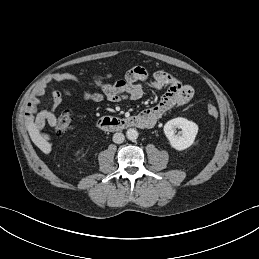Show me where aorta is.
Segmentation results:
<instances>
[{
    "label": "aorta",
    "instance_id": "762f6f07",
    "mask_svg": "<svg viewBox=\"0 0 259 259\" xmlns=\"http://www.w3.org/2000/svg\"><path fill=\"white\" fill-rule=\"evenodd\" d=\"M126 137L131 141L136 140L138 138L137 130L134 128H129L126 132Z\"/></svg>",
    "mask_w": 259,
    "mask_h": 259
}]
</instances>
